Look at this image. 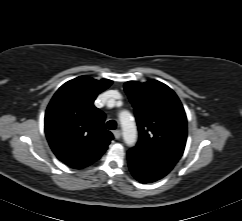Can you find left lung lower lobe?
<instances>
[{"label":"left lung lower lobe","mask_w":242,"mask_h":221,"mask_svg":"<svg viewBox=\"0 0 242 221\" xmlns=\"http://www.w3.org/2000/svg\"><path fill=\"white\" fill-rule=\"evenodd\" d=\"M129 169L141 183L155 182L167 175L174 165L148 154L138 153L130 149L127 153Z\"/></svg>","instance_id":"1"}]
</instances>
